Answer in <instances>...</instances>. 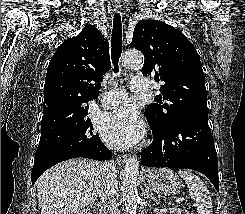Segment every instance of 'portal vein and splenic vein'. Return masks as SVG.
<instances>
[{
	"label": "portal vein and splenic vein",
	"instance_id": "portal-vein-and-splenic-vein-1",
	"mask_svg": "<svg viewBox=\"0 0 245 214\" xmlns=\"http://www.w3.org/2000/svg\"><path fill=\"white\" fill-rule=\"evenodd\" d=\"M184 200H185L184 197L177 198V199H176V203H181V202H183Z\"/></svg>",
	"mask_w": 245,
	"mask_h": 214
}]
</instances>
